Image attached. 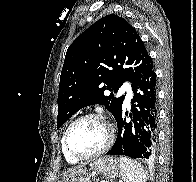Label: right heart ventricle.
I'll list each match as a JSON object with an SVG mask.
<instances>
[{
  "instance_id": "e07e8e85",
  "label": "right heart ventricle",
  "mask_w": 196,
  "mask_h": 182,
  "mask_svg": "<svg viewBox=\"0 0 196 182\" xmlns=\"http://www.w3.org/2000/svg\"><path fill=\"white\" fill-rule=\"evenodd\" d=\"M62 151H63V154H64L66 160H67L69 163L75 164V163L78 162V160H76V159L70 157V156L65 152L64 147H63V141H62Z\"/></svg>"
}]
</instances>
